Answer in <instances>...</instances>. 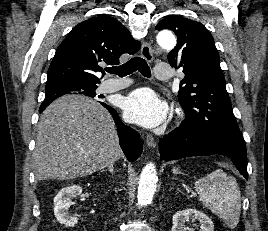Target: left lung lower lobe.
<instances>
[{"label":"left lung lower lobe","instance_id":"1","mask_svg":"<svg viewBox=\"0 0 268 231\" xmlns=\"http://www.w3.org/2000/svg\"><path fill=\"white\" fill-rule=\"evenodd\" d=\"M159 152L162 160L225 155L231 158L240 173L248 178L245 142L219 133L190 129L181 125L160 139Z\"/></svg>","mask_w":268,"mask_h":231}]
</instances>
